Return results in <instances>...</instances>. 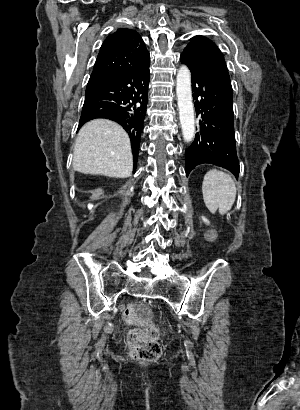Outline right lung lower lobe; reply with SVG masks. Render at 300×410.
Segmentation results:
<instances>
[{
  "label": "right lung lower lobe",
  "instance_id": "right-lung-lower-lobe-1",
  "mask_svg": "<svg viewBox=\"0 0 300 410\" xmlns=\"http://www.w3.org/2000/svg\"><path fill=\"white\" fill-rule=\"evenodd\" d=\"M149 66L150 63L88 82L79 127L92 119H110L129 134L132 152L140 146L148 103ZM133 159L135 166L138 155L134 158V152Z\"/></svg>",
  "mask_w": 300,
  "mask_h": 410
}]
</instances>
